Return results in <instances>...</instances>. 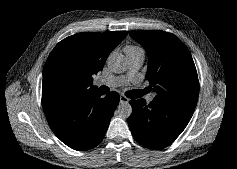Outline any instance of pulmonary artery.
Instances as JSON below:
<instances>
[{"label": "pulmonary artery", "instance_id": "obj_1", "mask_svg": "<svg viewBox=\"0 0 237 169\" xmlns=\"http://www.w3.org/2000/svg\"><path fill=\"white\" fill-rule=\"evenodd\" d=\"M129 61L131 63V66L135 69L139 68L143 61H144V55H137L134 57L129 58ZM97 83L99 85H105L108 87H114L116 85L119 84V80L116 78H112V77H104L102 79H100L99 81H97ZM153 99V95H151L148 100L151 101Z\"/></svg>", "mask_w": 237, "mask_h": 169}]
</instances>
